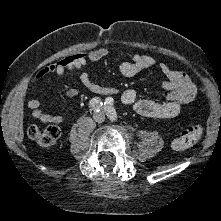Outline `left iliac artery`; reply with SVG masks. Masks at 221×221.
Segmentation results:
<instances>
[{
  "label": "left iliac artery",
  "instance_id": "1",
  "mask_svg": "<svg viewBox=\"0 0 221 221\" xmlns=\"http://www.w3.org/2000/svg\"><path fill=\"white\" fill-rule=\"evenodd\" d=\"M113 101L114 100L111 97L106 98L104 102V110L111 121H116L118 116L116 110L114 109Z\"/></svg>",
  "mask_w": 221,
  "mask_h": 221
}]
</instances>
